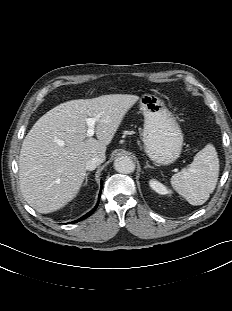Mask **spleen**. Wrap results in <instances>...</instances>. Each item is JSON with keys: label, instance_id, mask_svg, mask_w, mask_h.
<instances>
[{"label": "spleen", "instance_id": "1", "mask_svg": "<svg viewBox=\"0 0 232 311\" xmlns=\"http://www.w3.org/2000/svg\"><path fill=\"white\" fill-rule=\"evenodd\" d=\"M219 176V159L215 147L207 144L188 168L171 177L172 187L191 205L204 204L214 191Z\"/></svg>", "mask_w": 232, "mask_h": 311}]
</instances>
